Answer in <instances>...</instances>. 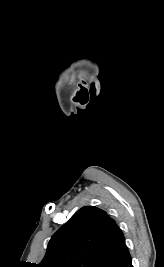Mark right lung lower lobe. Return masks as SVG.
<instances>
[{
    "label": "right lung lower lobe",
    "mask_w": 164,
    "mask_h": 267,
    "mask_svg": "<svg viewBox=\"0 0 164 267\" xmlns=\"http://www.w3.org/2000/svg\"><path fill=\"white\" fill-rule=\"evenodd\" d=\"M99 267H133L127 246L122 247L99 265Z\"/></svg>",
    "instance_id": "right-lung-lower-lobe-1"
}]
</instances>
